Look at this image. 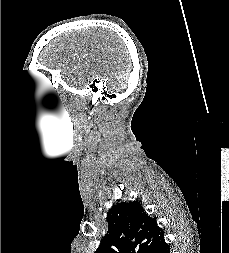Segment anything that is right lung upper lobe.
<instances>
[{
  "instance_id": "obj_1",
  "label": "right lung upper lobe",
  "mask_w": 229,
  "mask_h": 253,
  "mask_svg": "<svg viewBox=\"0 0 229 253\" xmlns=\"http://www.w3.org/2000/svg\"><path fill=\"white\" fill-rule=\"evenodd\" d=\"M108 232L95 253H151L164 239L156 219L137 202H121L109 210Z\"/></svg>"
}]
</instances>
